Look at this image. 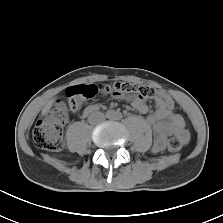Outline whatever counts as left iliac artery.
Instances as JSON below:
<instances>
[{
    "mask_svg": "<svg viewBox=\"0 0 223 223\" xmlns=\"http://www.w3.org/2000/svg\"><path fill=\"white\" fill-rule=\"evenodd\" d=\"M122 118V114L121 113H115V115H114V119H116V120H120Z\"/></svg>",
    "mask_w": 223,
    "mask_h": 223,
    "instance_id": "left-iliac-artery-1",
    "label": "left iliac artery"
}]
</instances>
